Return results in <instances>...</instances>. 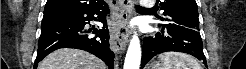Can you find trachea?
Here are the masks:
<instances>
[{
	"label": "trachea",
	"instance_id": "1",
	"mask_svg": "<svg viewBox=\"0 0 246 69\" xmlns=\"http://www.w3.org/2000/svg\"><path fill=\"white\" fill-rule=\"evenodd\" d=\"M136 7H137L138 9H141V10L152 11V9H147V8L141 7V6H139V5H136Z\"/></svg>",
	"mask_w": 246,
	"mask_h": 69
}]
</instances>
